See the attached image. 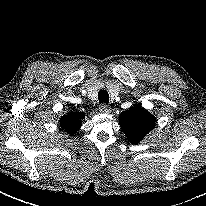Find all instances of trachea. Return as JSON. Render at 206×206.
Here are the masks:
<instances>
[{"label": "trachea", "instance_id": "3493384b", "mask_svg": "<svg viewBox=\"0 0 206 206\" xmlns=\"http://www.w3.org/2000/svg\"><path fill=\"white\" fill-rule=\"evenodd\" d=\"M98 99L100 103H109V94L106 90H101L98 93Z\"/></svg>", "mask_w": 206, "mask_h": 206}]
</instances>
